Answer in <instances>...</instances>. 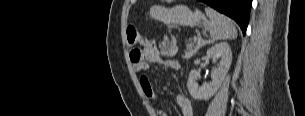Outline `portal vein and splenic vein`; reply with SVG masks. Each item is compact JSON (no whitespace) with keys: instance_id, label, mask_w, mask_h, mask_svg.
<instances>
[{"instance_id":"obj_1","label":"portal vein and splenic vein","mask_w":305,"mask_h":116,"mask_svg":"<svg viewBox=\"0 0 305 116\" xmlns=\"http://www.w3.org/2000/svg\"><path fill=\"white\" fill-rule=\"evenodd\" d=\"M203 41L201 40V37L198 38V44H201Z\"/></svg>"}]
</instances>
